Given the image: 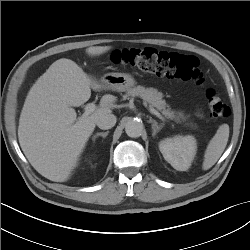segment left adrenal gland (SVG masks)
I'll use <instances>...</instances> for the list:
<instances>
[{
	"instance_id": "obj_1",
	"label": "left adrenal gland",
	"mask_w": 250,
	"mask_h": 250,
	"mask_svg": "<svg viewBox=\"0 0 250 250\" xmlns=\"http://www.w3.org/2000/svg\"><path fill=\"white\" fill-rule=\"evenodd\" d=\"M149 122L152 123V129H153L152 136L154 137L163 128L164 124L158 125L157 121L152 118H150Z\"/></svg>"
}]
</instances>
